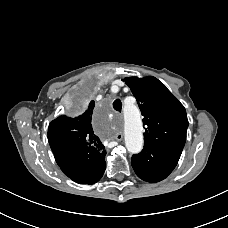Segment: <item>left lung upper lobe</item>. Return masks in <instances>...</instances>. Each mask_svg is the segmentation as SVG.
Masks as SVG:
<instances>
[{
	"mask_svg": "<svg viewBox=\"0 0 228 228\" xmlns=\"http://www.w3.org/2000/svg\"><path fill=\"white\" fill-rule=\"evenodd\" d=\"M124 81L144 116V145L182 152L189 125L184 106L153 76Z\"/></svg>",
	"mask_w": 228,
	"mask_h": 228,
	"instance_id": "obj_1",
	"label": "left lung upper lobe"
}]
</instances>
